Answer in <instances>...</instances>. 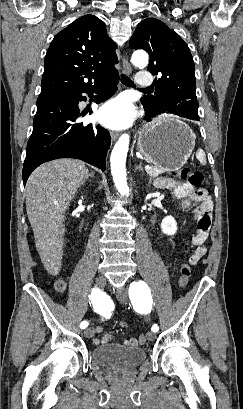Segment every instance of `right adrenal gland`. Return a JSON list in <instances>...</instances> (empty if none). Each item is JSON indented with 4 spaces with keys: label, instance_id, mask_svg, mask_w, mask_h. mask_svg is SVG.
Returning a JSON list of instances; mask_svg holds the SVG:
<instances>
[{
    "label": "right adrenal gland",
    "instance_id": "2a0ac1e0",
    "mask_svg": "<svg viewBox=\"0 0 243 409\" xmlns=\"http://www.w3.org/2000/svg\"><path fill=\"white\" fill-rule=\"evenodd\" d=\"M89 177H93V178H94V173H89L87 179H88ZM85 181H86V180H85ZM84 183H85V182H84Z\"/></svg>",
    "mask_w": 243,
    "mask_h": 409
}]
</instances>
